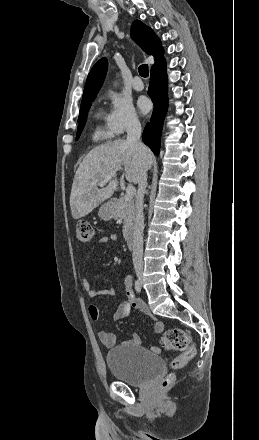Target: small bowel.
Returning a JSON list of instances; mask_svg holds the SVG:
<instances>
[{"instance_id":"1","label":"small bowel","mask_w":259,"mask_h":440,"mask_svg":"<svg viewBox=\"0 0 259 440\" xmlns=\"http://www.w3.org/2000/svg\"><path fill=\"white\" fill-rule=\"evenodd\" d=\"M118 237L116 234H112L110 237H102L99 240V243L103 244L108 241H117ZM82 287L86 294L90 298H95L98 296L108 295L112 296L114 295L113 289H103V290H97L91 287L89 281L86 278H83L81 281ZM125 291L126 295L128 297L127 302H120L117 306V309L114 313V319L115 320H121L128 316L131 308L138 309L142 313H144L146 316H148L151 320H153V329L155 332L160 333L164 329V324L157 320L148 307L138 298H136L133 287H132V279L130 276H127L125 278ZM89 316L93 320H97L99 317V308L95 304H91L88 308ZM98 338L100 342L107 348H111L115 345V337L112 333L107 331H99L98 332ZM141 343L140 336L138 334H133L132 337L124 342L126 345H139ZM152 351L159 352V348L152 347Z\"/></svg>"}]
</instances>
